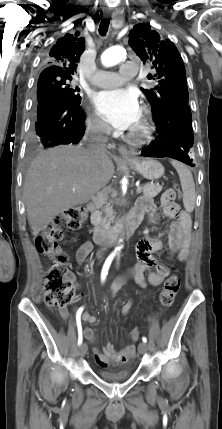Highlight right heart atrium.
Returning a JSON list of instances; mask_svg holds the SVG:
<instances>
[{"label": "right heart atrium", "instance_id": "1", "mask_svg": "<svg viewBox=\"0 0 222 429\" xmlns=\"http://www.w3.org/2000/svg\"><path fill=\"white\" fill-rule=\"evenodd\" d=\"M86 124L93 133H105L108 130L106 124L94 113L89 114Z\"/></svg>", "mask_w": 222, "mask_h": 429}]
</instances>
